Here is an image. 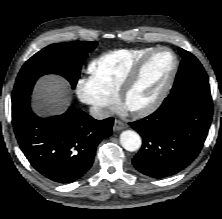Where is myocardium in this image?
I'll return each mask as SVG.
<instances>
[{"mask_svg":"<svg viewBox=\"0 0 222 219\" xmlns=\"http://www.w3.org/2000/svg\"><path fill=\"white\" fill-rule=\"evenodd\" d=\"M160 52H168L173 57V66L160 92L158 93V95L155 97V99L152 102H150L149 104L143 107H139V108L129 107L127 104L128 96L130 95V93L133 91V89L139 82L147 62L149 61L151 57H153L155 54L160 53ZM178 69H179L178 56L172 49L168 47L153 48L152 50L144 54L135 63V65L133 66L131 71L128 73V75L123 79L120 90L117 95L119 103L135 117H145L152 114L161 106V104L167 97L174 83Z\"/></svg>","mask_w":222,"mask_h":219,"instance_id":"1","label":"myocardium"}]
</instances>
